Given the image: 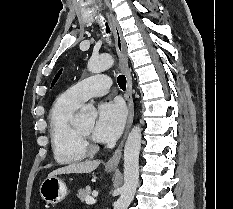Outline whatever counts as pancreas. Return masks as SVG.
Returning a JSON list of instances; mask_svg holds the SVG:
<instances>
[{
    "label": "pancreas",
    "instance_id": "cf45deb5",
    "mask_svg": "<svg viewBox=\"0 0 233 209\" xmlns=\"http://www.w3.org/2000/svg\"><path fill=\"white\" fill-rule=\"evenodd\" d=\"M91 194V189L90 187H86L85 189H80L78 191V198L80 199L81 202H84L86 197H90Z\"/></svg>",
    "mask_w": 233,
    "mask_h": 209
}]
</instances>
